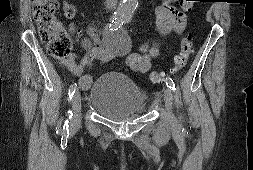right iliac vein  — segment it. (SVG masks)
Segmentation results:
<instances>
[{
	"label": "right iliac vein",
	"instance_id": "1",
	"mask_svg": "<svg viewBox=\"0 0 253 170\" xmlns=\"http://www.w3.org/2000/svg\"><path fill=\"white\" fill-rule=\"evenodd\" d=\"M73 119L72 124L77 126L81 121V95L79 90L75 91L72 97Z\"/></svg>",
	"mask_w": 253,
	"mask_h": 170
}]
</instances>
